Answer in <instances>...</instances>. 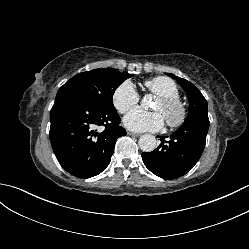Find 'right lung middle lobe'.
<instances>
[{
	"label": "right lung middle lobe",
	"instance_id": "dd1d6c3e",
	"mask_svg": "<svg viewBox=\"0 0 249 249\" xmlns=\"http://www.w3.org/2000/svg\"><path fill=\"white\" fill-rule=\"evenodd\" d=\"M132 76L133 74L128 72L120 73L112 68L82 72L60 87L57 94L70 93L83 99L91 106L112 110L115 109L112 103L115 90L121 83Z\"/></svg>",
	"mask_w": 249,
	"mask_h": 249
}]
</instances>
